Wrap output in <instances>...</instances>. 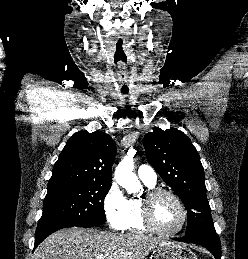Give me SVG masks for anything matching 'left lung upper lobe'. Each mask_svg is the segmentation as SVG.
Instances as JSON below:
<instances>
[{"mask_svg": "<svg viewBox=\"0 0 248 259\" xmlns=\"http://www.w3.org/2000/svg\"><path fill=\"white\" fill-rule=\"evenodd\" d=\"M143 145L149 164L178 194L187 209L185 235L214 231L203 167L190 139L177 129L158 128L144 136Z\"/></svg>", "mask_w": 248, "mask_h": 259, "instance_id": "5c2ea615", "label": "left lung upper lobe"}]
</instances>
